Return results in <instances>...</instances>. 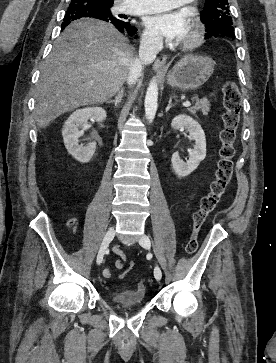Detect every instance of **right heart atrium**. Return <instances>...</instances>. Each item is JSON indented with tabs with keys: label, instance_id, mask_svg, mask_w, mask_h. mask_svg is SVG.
<instances>
[{
	"label": "right heart atrium",
	"instance_id": "right-heart-atrium-1",
	"mask_svg": "<svg viewBox=\"0 0 276 363\" xmlns=\"http://www.w3.org/2000/svg\"><path fill=\"white\" fill-rule=\"evenodd\" d=\"M145 41L148 44H156L157 40L148 32L145 33L144 35Z\"/></svg>",
	"mask_w": 276,
	"mask_h": 363
}]
</instances>
